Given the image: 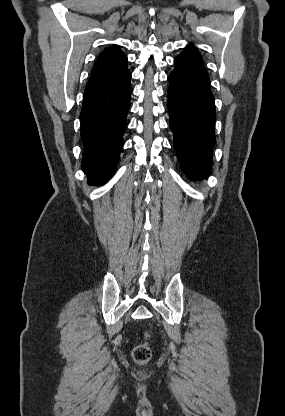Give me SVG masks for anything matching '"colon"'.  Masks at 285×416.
Masks as SVG:
<instances>
[{
	"mask_svg": "<svg viewBox=\"0 0 285 416\" xmlns=\"http://www.w3.org/2000/svg\"><path fill=\"white\" fill-rule=\"evenodd\" d=\"M133 360L140 365L147 363L151 357V351L146 343L136 346L132 353Z\"/></svg>",
	"mask_w": 285,
	"mask_h": 416,
	"instance_id": "colon-1",
	"label": "colon"
}]
</instances>
